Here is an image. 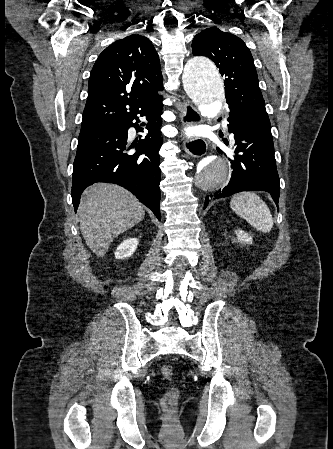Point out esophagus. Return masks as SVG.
Returning a JSON list of instances; mask_svg holds the SVG:
<instances>
[{
	"label": "esophagus",
	"mask_w": 333,
	"mask_h": 449,
	"mask_svg": "<svg viewBox=\"0 0 333 449\" xmlns=\"http://www.w3.org/2000/svg\"><path fill=\"white\" fill-rule=\"evenodd\" d=\"M181 121L185 127L188 125L200 124L202 118L198 110L191 103L184 102L181 111ZM183 147L186 153L198 158L206 153L207 144L204 139L200 137H193L190 139H185Z\"/></svg>",
	"instance_id": "1"
}]
</instances>
